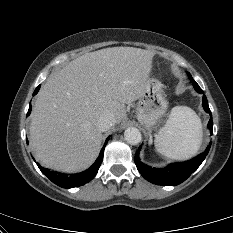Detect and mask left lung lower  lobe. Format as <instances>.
<instances>
[{
  "label": "left lung lower lobe",
  "mask_w": 233,
  "mask_h": 233,
  "mask_svg": "<svg viewBox=\"0 0 233 233\" xmlns=\"http://www.w3.org/2000/svg\"><path fill=\"white\" fill-rule=\"evenodd\" d=\"M191 81L194 85L195 90L198 93H201L199 85L193 79H191ZM202 104L204 110L207 113H209L211 116V119L208 122V128L212 134L213 133L212 115L205 95L203 96ZM140 148L135 154L134 161L141 175L146 180H148L153 184L164 185V186H175L185 181L200 166V164L203 162V160L205 159L206 155L209 152L210 145L203 153L199 154L194 159L182 163H172L168 165L166 168H162V169L151 168L150 166L143 164L139 159Z\"/></svg>",
  "instance_id": "obj_1"
}]
</instances>
